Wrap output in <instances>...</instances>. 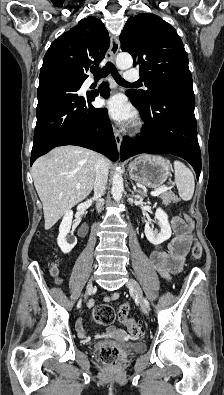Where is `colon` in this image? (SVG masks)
I'll list each match as a JSON object with an SVG mask.
<instances>
[{"mask_svg": "<svg viewBox=\"0 0 224 395\" xmlns=\"http://www.w3.org/2000/svg\"><path fill=\"white\" fill-rule=\"evenodd\" d=\"M185 224L190 228L192 221L188 215H184ZM202 246L199 242L194 241L191 249V255L195 260H199L202 256ZM57 268L52 269V273L57 274ZM116 318L120 323L125 325L129 333L133 337H139L142 334V328L138 322L130 317L129 306L122 304L117 310L111 305L101 304L95 307L92 311V320L99 325H111ZM98 357L102 362L115 366L121 359V353L116 347L101 346L98 350Z\"/></svg>", "mask_w": 224, "mask_h": 395, "instance_id": "1", "label": "colon"}]
</instances>
